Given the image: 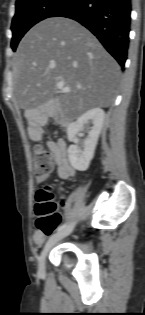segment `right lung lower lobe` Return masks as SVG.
<instances>
[{"instance_id": "obj_1", "label": "right lung lower lobe", "mask_w": 145, "mask_h": 315, "mask_svg": "<svg viewBox=\"0 0 145 315\" xmlns=\"http://www.w3.org/2000/svg\"><path fill=\"white\" fill-rule=\"evenodd\" d=\"M131 0H71L52 17L74 19L88 28L123 68L127 59Z\"/></svg>"}]
</instances>
